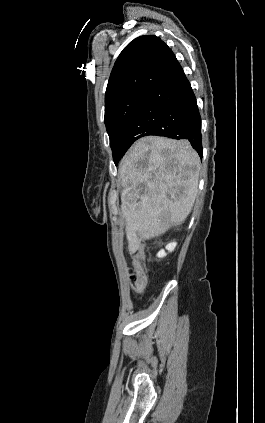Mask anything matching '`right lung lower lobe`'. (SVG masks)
<instances>
[{"label": "right lung lower lobe", "mask_w": 265, "mask_h": 423, "mask_svg": "<svg viewBox=\"0 0 265 423\" xmlns=\"http://www.w3.org/2000/svg\"><path fill=\"white\" fill-rule=\"evenodd\" d=\"M149 135L186 139L202 157L201 117L191 85L177 59L123 129L119 148L125 154L137 139Z\"/></svg>", "instance_id": "obj_1"}]
</instances>
